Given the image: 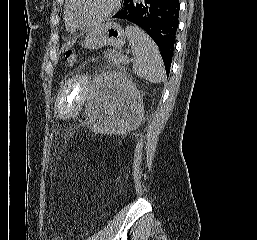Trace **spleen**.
Here are the masks:
<instances>
[{"label":"spleen","instance_id":"spleen-1","mask_svg":"<svg viewBox=\"0 0 257 240\" xmlns=\"http://www.w3.org/2000/svg\"><path fill=\"white\" fill-rule=\"evenodd\" d=\"M126 35L135 56L133 72L151 83L164 81V65L154 41L147 33L135 26H128Z\"/></svg>","mask_w":257,"mask_h":240}]
</instances>
